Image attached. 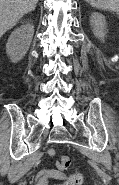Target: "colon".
<instances>
[{
  "mask_svg": "<svg viewBox=\"0 0 119 185\" xmlns=\"http://www.w3.org/2000/svg\"><path fill=\"white\" fill-rule=\"evenodd\" d=\"M58 163L62 168H68L72 164L70 157H68L66 155L61 156ZM81 183H82V175L80 172L75 171L74 173L69 175L64 180V182L60 185H81Z\"/></svg>",
  "mask_w": 119,
  "mask_h": 185,
  "instance_id": "5ec220e1",
  "label": "colon"
}]
</instances>
